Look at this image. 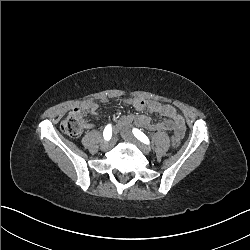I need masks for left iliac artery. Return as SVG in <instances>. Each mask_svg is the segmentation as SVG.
<instances>
[{
  "label": "left iliac artery",
  "mask_w": 250,
  "mask_h": 250,
  "mask_svg": "<svg viewBox=\"0 0 250 250\" xmlns=\"http://www.w3.org/2000/svg\"><path fill=\"white\" fill-rule=\"evenodd\" d=\"M132 132H133L134 136H135L138 140H140L141 142H143L144 144H149V143H150L148 137H147L143 132H141L140 130L134 128V129L132 130Z\"/></svg>",
  "instance_id": "left-iliac-artery-1"
}]
</instances>
